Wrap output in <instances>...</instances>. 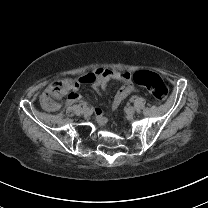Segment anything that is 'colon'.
<instances>
[{
	"mask_svg": "<svg viewBox=\"0 0 208 208\" xmlns=\"http://www.w3.org/2000/svg\"><path fill=\"white\" fill-rule=\"evenodd\" d=\"M133 80L137 85L145 87L155 100L162 101L168 95V87L157 73L139 71L133 75ZM84 86V84L77 83L76 89ZM74 87L75 82L70 77L53 81L47 86L44 97L39 100V109L43 112H56L60 108V99L71 95Z\"/></svg>",
	"mask_w": 208,
	"mask_h": 208,
	"instance_id": "obj_1",
	"label": "colon"
}]
</instances>
